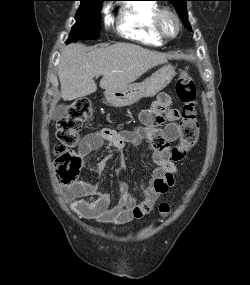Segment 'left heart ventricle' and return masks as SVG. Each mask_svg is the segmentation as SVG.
<instances>
[{
  "label": "left heart ventricle",
  "mask_w": 250,
  "mask_h": 285,
  "mask_svg": "<svg viewBox=\"0 0 250 285\" xmlns=\"http://www.w3.org/2000/svg\"><path fill=\"white\" fill-rule=\"evenodd\" d=\"M163 28H164V31L171 35L175 32V23L174 21L171 19V18H165L164 21H163Z\"/></svg>",
  "instance_id": "left-heart-ventricle-1"
}]
</instances>
